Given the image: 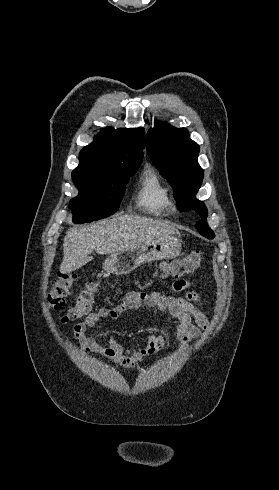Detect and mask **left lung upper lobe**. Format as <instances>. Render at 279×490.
Here are the masks:
<instances>
[{
    "mask_svg": "<svg viewBox=\"0 0 279 490\" xmlns=\"http://www.w3.org/2000/svg\"><path fill=\"white\" fill-rule=\"evenodd\" d=\"M146 147L152 162L175 189L178 207L196 210L202 218V222L196 224L197 230L206 238H214V232L206 223L207 208L195 198L204 174L198 164L199 146L190 139L188 130L167 123L157 124L147 132Z\"/></svg>",
    "mask_w": 279,
    "mask_h": 490,
    "instance_id": "left-lung-upper-lobe-1",
    "label": "left lung upper lobe"
}]
</instances>
